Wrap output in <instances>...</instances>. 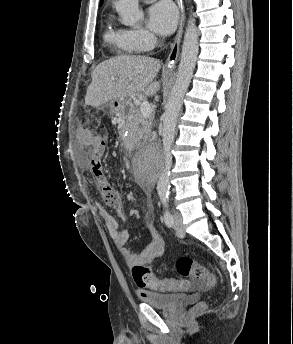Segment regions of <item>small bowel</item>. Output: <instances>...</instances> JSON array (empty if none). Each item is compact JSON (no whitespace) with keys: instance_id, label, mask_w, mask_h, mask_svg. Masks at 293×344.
<instances>
[{"instance_id":"c3829d8e","label":"small bowel","mask_w":293,"mask_h":344,"mask_svg":"<svg viewBox=\"0 0 293 344\" xmlns=\"http://www.w3.org/2000/svg\"><path fill=\"white\" fill-rule=\"evenodd\" d=\"M101 138L91 133L88 129L79 128L76 131V146L78 150L83 151L86 148L93 147ZM97 174L98 171H94ZM99 212L104 220L106 229L113 241L115 248L128 266L148 264L161 257L165 251V241L156 230L153 223L147 225L150 235L149 244L140 252H132L126 244L130 238V233L126 229L120 228V221L125 219L123 207L116 208V215H112L103 207H99Z\"/></svg>"}]
</instances>
